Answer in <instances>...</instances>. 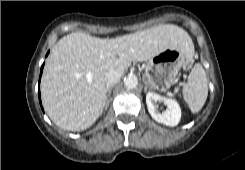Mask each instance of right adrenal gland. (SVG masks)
<instances>
[{
  "instance_id": "2a0ac1e0",
  "label": "right adrenal gland",
  "mask_w": 245,
  "mask_h": 170,
  "mask_svg": "<svg viewBox=\"0 0 245 170\" xmlns=\"http://www.w3.org/2000/svg\"><path fill=\"white\" fill-rule=\"evenodd\" d=\"M111 89H112V86L109 87V88L107 89V100H106V106H105V109H107L108 106H109L110 96H111Z\"/></svg>"
}]
</instances>
